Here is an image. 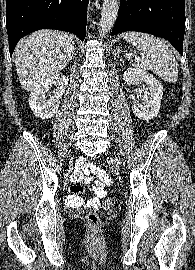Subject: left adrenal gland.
<instances>
[{
  "mask_svg": "<svg viewBox=\"0 0 195 270\" xmlns=\"http://www.w3.org/2000/svg\"><path fill=\"white\" fill-rule=\"evenodd\" d=\"M114 57L119 58V51L118 50L117 51L116 50L114 51ZM120 60H122V59H120Z\"/></svg>",
  "mask_w": 195,
  "mask_h": 270,
  "instance_id": "1",
  "label": "left adrenal gland"
}]
</instances>
